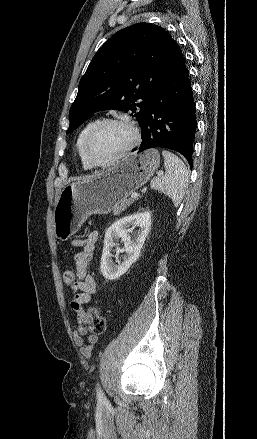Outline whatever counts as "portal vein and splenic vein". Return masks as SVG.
I'll list each match as a JSON object with an SVG mask.
<instances>
[{
    "mask_svg": "<svg viewBox=\"0 0 257 439\" xmlns=\"http://www.w3.org/2000/svg\"><path fill=\"white\" fill-rule=\"evenodd\" d=\"M161 174V173H160ZM138 197V193L134 192L131 194V198L135 199Z\"/></svg>",
    "mask_w": 257,
    "mask_h": 439,
    "instance_id": "18ae733b",
    "label": "portal vein and splenic vein"
}]
</instances>
